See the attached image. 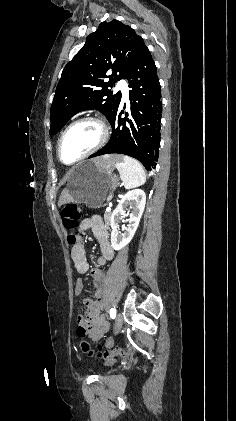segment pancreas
Masks as SVG:
<instances>
[{
	"mask_svg": "<svg viewBox=\"0 0 236 421\" xmlns=\"http://www.w3.org/2000/svg\"><path fill=\"white\" fill-rule=\"evenodd\" d=\"M110 215H111V213H105V215H104L106 225H109V223H110Z\"/></svg>",
	"mask_w": 236,
	"mask_h": 421,
	"instance_id": "1",
	"label": "pancreas"
}]
</instances>
